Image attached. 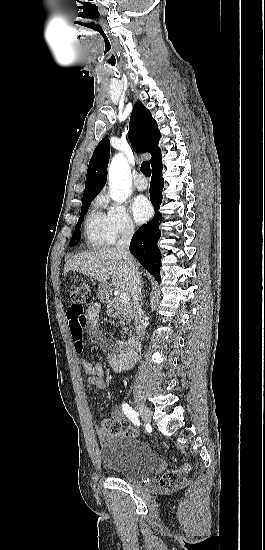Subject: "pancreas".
<instances>
[{"mask_svg":"<svg viewBox=\"0 0 265 550\" xmlns=\"http://www.w3.org/2000/svg\"><path fill=\"white\" fill-rule=\"evenodd\" d=\"M109 316L119 318L120 323L125 325L133 319V307L131 303H122L119 296L112 298L107 306Z\"/></svg>","mask_w":265,"mask_h":550,"instance_id":"pancreas-1","label":"pancreas"}]
</instances>
